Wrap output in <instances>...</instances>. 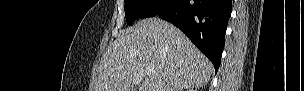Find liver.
Wrapping results in <instances>:
<instances>
[{
	"instance_id": "liver-1",
	"label": "liver",
	"mask_w": 304,
	"mask_h": 91,
	"mask_svg": "<svg viewBox=\"0 0 304 91\" xmlns=\"http://www.w3.org/2000/svg\"><path fill=\"white\" fill-rule=\"evenodd\" d=\"M146 68L153 73L147 75ZM212 63L177 27L158 17L122 31L103 54L95 91H183L205 86Z\"/></svg>"
}]
</instances>
